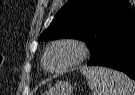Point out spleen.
<instances>
[{"mask_svg": "<svg viewBox=\"0 0 135 95\" xmlns=\"http://www.w3.org/2000/svg\"><path fill=\"white\" fill-rule=\"evenodd\" d=\"M80 72L92 95H135V82L123 73L104 67L82 66Z\"/></svg>", "mask_w": 135, "mask_h": 95, "instance_id": "1", "label": "spleen"}]
</instances>
